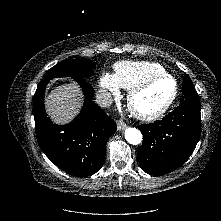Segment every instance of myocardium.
Masks as SVG:
<instances>
[{
    "label": "myocardium",
    "mask_w": 221,
    "mask_h": 221,
    "mask_svg": "<svg viewBox=\"0 0 221 221\" xmlns=\"http://www.w3.org/2000/svg\"><path fill=\"white\" fill-rule=\"evenodd\" d=\"M170 80L173 84V90L167 101L160 106L158 109L152 111V112H143L140 111L136 105L135 100L136 98L143 93L145 90H147L149 87H151L154 83L160 80ZM178 93V86L176 80L169 74L164 73L160 75L153 76L146 81L142 82L138 86L131 89L128 93L127 97V104L130 112L139 120L142 121H153L159 117H161L174 103Z\"/></svg>",
    "instance_id": "1"
}]
</instances>
